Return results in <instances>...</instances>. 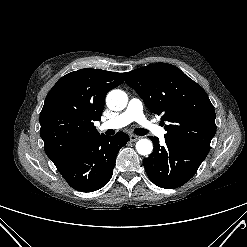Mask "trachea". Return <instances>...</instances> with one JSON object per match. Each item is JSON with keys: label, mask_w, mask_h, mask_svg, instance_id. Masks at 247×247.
Returning <instances> with one entry per match:
<instances>
[{"label": "trachea", "mask_w": 247, "mask_h": 247, "mask_svg": "<svg viewBox=\"0 0 247 247\" xmlns=\"http://www.w3.org/2000/svg\"><path fill=\"white\" fill-rule=\"evenodd\" d=\"M134 132L140 136H144L148 133V131L146 129H142V128H137L134 130Z\"/></svg>", "instance_id": "1"}]
</instances>
